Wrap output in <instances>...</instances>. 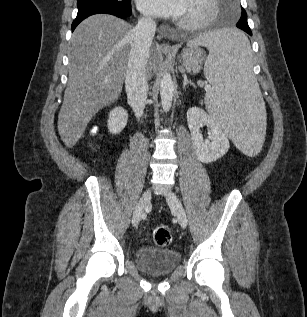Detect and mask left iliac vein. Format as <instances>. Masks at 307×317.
Segmentation results:
<instances>
[{"label": "left iliac vein", "instance_id": "obj_1", "mask_svg": "<svg viewBox=\"0 0 307 317\" xmlns=\"http://www.w3.org/2000/svg\"><path fill=\"white\" fill-rule=\"evenodd\" d=\"M166 201L169 204L172 211L174 212L175 216L177 217L178 222L181 225V227L186 228L187 223H188L187 216H186V212H185L184 207H183L181 201L179 200V198L173 192H169L166 195Z\"/></svg>", "mask_w": 307, "mask_h": 317}]
</instances>
